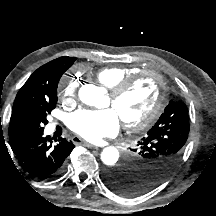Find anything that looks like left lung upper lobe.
<instances>
[{
    "label": "left lung upper lobe",
    "mask_w": 216,
    "mask_h": 216,
    "mask_svg": "<svg viewBox=\"0 0 216 216\" xmlns=\"http://www.w3.org/2000/svg\"><path fill=\"white\" fill-rule=\"evenodd\" d=\"M189 130L187 106L170 101L147 136L138 143V148L133 149L138 152L137 160L127 163L130 173L124 183L134 186L131 194L146 193L168 176L183 154Z\"/></svg>",
    "instance_id": "left-lung-upper-lobe-1"
}]
</instances>
